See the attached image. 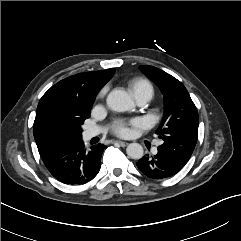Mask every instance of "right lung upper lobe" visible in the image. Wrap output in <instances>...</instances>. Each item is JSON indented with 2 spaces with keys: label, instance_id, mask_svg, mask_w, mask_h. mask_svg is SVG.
I'll return each instance as SVG.
<instances>
[{
  "label": "right lung upper lobe",
  "instance_id": "cb5924a9",
  "mask_svg": "<svg viewBox=\"0 0 241 241\" xmlns=\"http://www.w3.org/2000/svg\"><path fill=\"white\" fill-rule=\"evenodd\" d=\"M114 69L79 73L52 86L40 99L33 134L41 155L56 148L47 138L46 126L55 117H85L99 90L112 78Z\"/></svg>",
  "mask_w": 241,
  "mask_h": 241
}]
</instances>
